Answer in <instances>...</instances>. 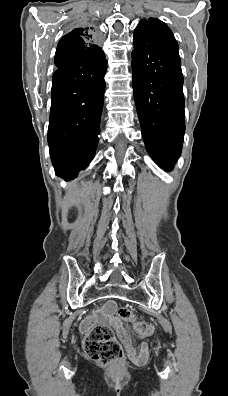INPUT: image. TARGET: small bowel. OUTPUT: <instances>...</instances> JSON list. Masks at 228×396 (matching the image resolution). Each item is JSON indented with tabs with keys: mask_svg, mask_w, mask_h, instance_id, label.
<instances>
[{
	"mask_svg": "<svg viewBox=\"0 0 228 396\" xmlns=\"http://www.w3.org/2000/svg\"><path fill=\"white\" fill-rule=\"evenodd\" d=\"M103 317L107 319V321L114 327L116 330L119 338L121 339L122 343L124 344V347L127 351L128 357L130 360L136 364V365H141L144 364L147 360L148 356V348H147V343L142 341L136 349L130 340V337L127 333V331L123 328L120 319L114 314V303L110 302L108 303L103 311ZM141 338L144 337L142 334H138Z\"/></svg>",
	"mask_w": 228,
	"mask_h": 396,
	"instance_id": "1",
	"label": "small bowel"
}]
</instances>
